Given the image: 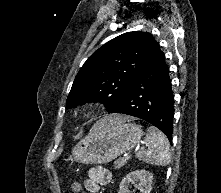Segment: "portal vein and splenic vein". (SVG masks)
<instances>
[{
	"label": "portal vein and splenic vein",
	"instance_id": "obj_1",
	"mask_svg": "<svg viewBox=\"0 0 221 193\" xmlns=\"http://www.w3.org/2000/svg\"><path fill=\"white\" fill-rule=\"evenodd\" d=\"M122 159L123 160H127L128 159V155H124Z\"/></svg>",
	"mask_w": 221,
	"mask_h": 193
}]
</instances>
